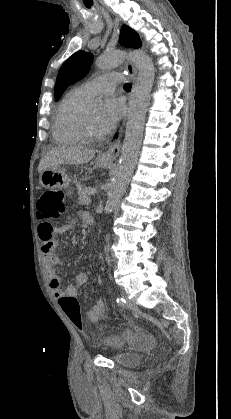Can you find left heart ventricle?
Masks as SVG:
<instances>
[{"mask_svg":"<svg viewBox=\"0 0 231 419\" xmlns=\"http://www.w3.org/2000/svg\"><path fill=\"white\" fill-rule=\"evenodd\" d=\"M98 110H87V123L90 131L93 134L101 135L102 132L98 125Z\"/></svg>","mask_w":231,"mask_h":419,"instance_id":"left-heart-ventricle-1","label":"left heart ventricle"}]
</instances>
